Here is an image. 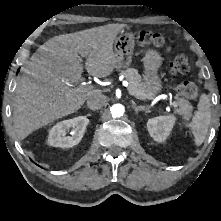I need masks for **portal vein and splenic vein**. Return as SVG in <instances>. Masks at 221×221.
I'll list each match as a JSON object with an SVG mask.
<instances>
[{
  "mask_svg": "<svg viewBox=\"0 0 221 221\" xmlns=\"http://www.w3.org/2000/svg\"><path fill=\"white\" fill-rule=\"evenodd\" d=\"M92 89H93V86L85 85V84H81L77 88H74L76 92H88V91H91ZM172 105L173 107H176L175 103H172Z\"/></svg>",
  "mask_w": 221,
  "mask_h": 221,
  "instance_id": "18ae733b",
  "label": "portal vein and splenic vein"
}]
</instances>
